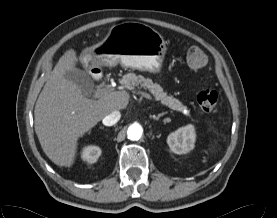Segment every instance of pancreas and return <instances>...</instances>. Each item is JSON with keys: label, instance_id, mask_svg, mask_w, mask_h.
Wrapping results in <instances>:
<instances>
[{"label": "pancreas", "instance_id": "obj_1", "mask_svg": "<svg viewBox=\"0 0 277 218\" xmlns=\"http://www.w3.org/2000/svg\"><path fill=\"white\" fill-rule=\"evenodd\" d=\"M120 83L131 90H135L136 87L149 90L155 99L160 101L163 105L168 106L172 110L179 111L186 116L190 115V111L181 101L173 96L167 95L163 88L159 84L153 83L151 79H146L134 73H128L123 76Z\"/></svg>", "mask_w": 277, "mask_h": 218}]
</instances>
